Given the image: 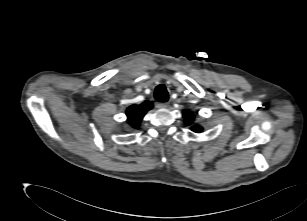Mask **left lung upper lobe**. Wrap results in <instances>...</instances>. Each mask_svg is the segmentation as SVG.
Wrapping results in <instances>:
<instances>
[{"instance_id":"obj_1","label":"left lung upper lobe","mask_w":307,"mask_h":221,"mask_svg":"<svg viewBox=\"0 0 307 221\" xmlns=\"http://www.w3.org/2000/svg\"><path fill=\"white\" fill-rule=\"evenodd\" d=\"M184 122L186 125L190 126L194 122V115L192 113H184ZM191 130L197 133L202 132V127L199 125H194L191 127Z\"/></svg>"}]
</instances>
